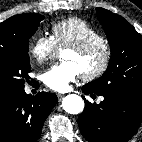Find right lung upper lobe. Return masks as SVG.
Wrapping results in <instances>:
<instances>
[{
  "instance_id": "cb5924a9",
  "label": "right lung upper lobe",
  "mask_w": 142,
  "mask_h": 142,
  "mask_svg": "<svg viewBox=\"0 0 142 142\" xmlns=\"http://www.w3.org/2000/svg\"><path fill=\"white\" fill-rule=\"evenodd\" d=\"M23 14L15 15L4 22L0 23V31H14V29L17 26V22L22 17ZM11 95L6 93H0V106L3 105L10 97Z\"/></svg>"
}]
</instances>
